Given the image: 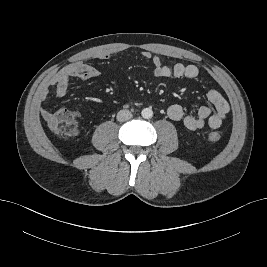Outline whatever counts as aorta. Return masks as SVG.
I'll use <instances>...</instances> for the list:
<instances>
[{"instance_id": "762f6f07", "label": "aorta", "mask_w": 267, "mask_h": 267, "mask_svg": "<svg viewBox=\"0 0 267 267\" xmlns=\"http://www.w3.org/2000/svg\"><path fill=\"white\" fill-rule=\"evenodd\" d=\"M141 115L144 119H150L153 116V111L151 108H144L141 112Z\"/></svg>"}]
</instances>
